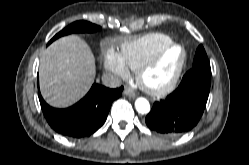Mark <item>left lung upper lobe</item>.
I'll use <instances>...</instances> for the list:
<instances>
[{
	"label": "left lung upper lobe",
	"mask_w": 249,
	"mask_h": 165,
	"mask_svg": "<svg viewBox=\"0 0 249 165\" xmlns=\"http://www.w3.org/2000/svg\"><path fill=\"white\" fill-rule=\"evenodd\" d=\"M192 68H201V69L211 70L210 62L208 60L207 54L202 45H200L197 48Z\"/></svg>",
	"instance_id": "1"
}]
</instances>
